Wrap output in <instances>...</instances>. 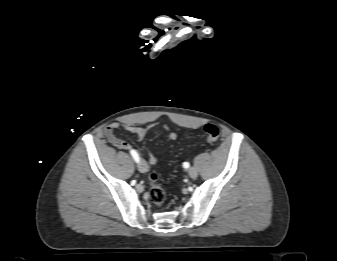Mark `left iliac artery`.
<instances>
[{"mask_svg":"<svg viewBox=\"0 0 337 261\" xmlns=\"http://www.w3.org/2000/svg\"><path fill=\"white\" fill-rule=\"evenodd\" d=\"M183 167H184L185 169H187V168L190 167V164H189L188 162H184V163H183Z\"/></svg>","mask_w":337,"mask_h":261,"instance_id":"1","label":"left iliac artery"}]
</instances>
